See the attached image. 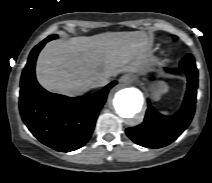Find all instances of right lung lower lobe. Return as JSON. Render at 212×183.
Wrapping results in <instances>:
<instances>
[{"label": "right lung lower lobe", "instance_id": "right-lung-lower-lobe-1", "mask_svg": "<svg viewBox=\"0 0 212 183\" xmlns=\"http://www.w3.org/2000/svg\"><path fill=\"white\" fill-rule=\"evenodd\" d=\"M50 40L46 38L30 53L21 76L19 108L24 123L40 142L69 152L82 147L91 137L99 110L117 82L76 98L49 93L36 81L34 69L38 53Z\"/></svg>", "mask_w": 212, "mask_h": 183}]
</instances>
